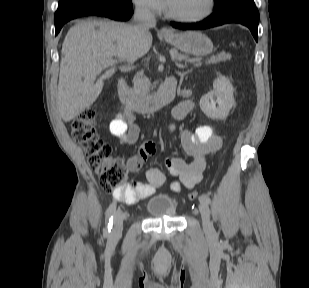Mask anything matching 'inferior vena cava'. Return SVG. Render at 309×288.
Returning <instances> with one entry per match:
<instances>
[{
  "label": "inferior vena cava",
  "mask_w": 309,
  "mask_h": 288,
  "mask_svg": "<svg viewBox=\"0 0 309 288\" xmlns=\"http://www.w3.org/2000/svg\"><path fill=\"white\" fill-rule=\"evenodd\" d=\"M134 29L138 32L147 31L149 28L155 27V15L150 11L149 7L144 4H137L134 11Z\"/></svg>",
  "instance_id": "inferior-vena-cava-1"
}]
</instances>
